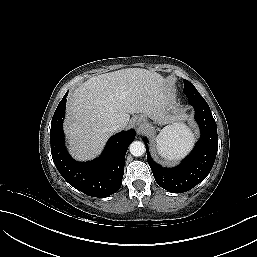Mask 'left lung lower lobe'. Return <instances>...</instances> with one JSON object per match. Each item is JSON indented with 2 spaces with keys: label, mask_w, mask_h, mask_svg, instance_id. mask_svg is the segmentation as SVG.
Instances as JSON below:
<instances>
[{
  "label": "left lung lower lobe",
  "mask_w": 257,
  "mask_h": 257,
  "mask_svg": "<svg viewBox=\"0 0 257 257\" xmlns=\"http://www.w3.org/2000/svg\"><path fill=\"white\" fill-rule=\"evenodd\" d=\"M195 108V120L200 126L201 138L192 152L175 168H163L150 157L147 139V161L159 186L172 193H183L202 182L211 171L218 151L216 122L205 100L189 99Z\"/></svg>",
  "instance_id": "0a47b994"
}]
</instances>
